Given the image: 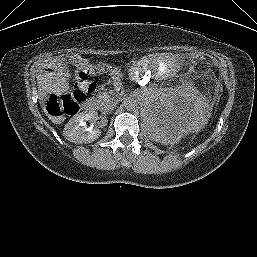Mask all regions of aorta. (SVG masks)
<instances>
[{
	"instance_id": "aorta-1",
	"label": "aorta",
	"mask_w": 257,
	"mask_h": 257,
	"mask_svg": "<svg viewBox=\"0 0 257 257\" xmlns=\"http://www.w3.org/2000/svg\"><path fill=\"white\" fill-rule=\"evenodd\" d=\"M125 108L128 111H134L137 108V103L133 99H129L125 102Z\"/></svg>"
}]
</instances>
